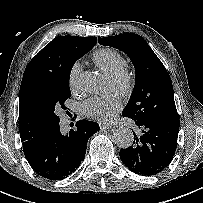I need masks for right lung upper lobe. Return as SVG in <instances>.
<instances>
[{
    "label": "right lung upper lobe",
    "mask_w": 203,
    "mask_h": 203,
    "mask_svg": "<svg viewBox=\"0 0 203 203\" xmlns=\"http://www.w3.org/2000/svg\"><path fill=\"white\" fill-rule=\"evenodd\" d=\"M96 43V37L59 36L28 63L19 92V132L23 144L46 136L52 129V126L39 116L33 104L35 83L59 70L70 56L81 52L87 53Z\"/></svg>",
    "instance_id": "1"
}]
</instances>
